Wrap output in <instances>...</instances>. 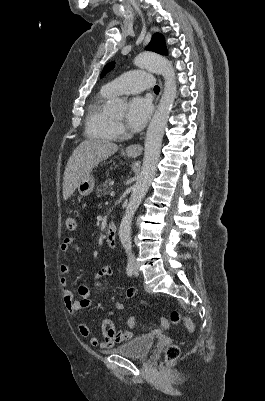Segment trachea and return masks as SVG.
<instances>
[{
  "mask_svg": "<svg viewBox=\"0 0 265 401\" xmlns=\"http://www.w3.org/2000/svg\"><path fill=\"white\" fill-rule=\"evenodd\" d=\"M160 92V87L158 85H156L154 87V93L158 94Z\"/></svg>",
  "mask_w": 265,
  "mask_h": 401,
  "instance_id": "obj_1",
  "label": "trachea"
}]
</instances>
